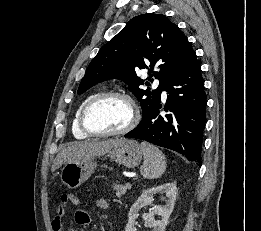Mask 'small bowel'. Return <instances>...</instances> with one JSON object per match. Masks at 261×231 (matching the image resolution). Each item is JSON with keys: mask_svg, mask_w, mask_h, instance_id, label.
Returning <instances> with one entry per match:
<instances>
[{"mask_svg": "<svg viewBox=\"0 0 261 231\" xmlns=\"http://www.w3.org/2000/svg\"><path fill=\"white\" fill-rule=\"evenodd\" d=\"M96 202H97V205L101 208L108 207L107 201L102 198H98ZM64 215H65V211H63L61 209V207L59 206L57 208L55 218L52 222L54 231H62V228H63L62 221H63ZM75 221L79 226H88L91 222V216L86 210L78 209L75 212Z\"/></svg>", "mask_w": 261, "mask_h": 231, "instance_id": "c3829d8e", "label": "small bowel"}]
</instances>
